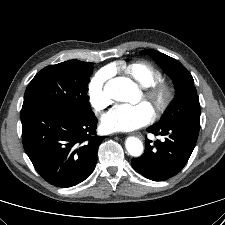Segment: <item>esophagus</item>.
<instances>
[{
  "mask_svg": "<svg viewBox=\"0 0 225 225\" xmlns=\"http://www.w3.org/2000/svg\"><path fill=\"white\" fill-rule=\"evenodd\" d=\"M136 137H138L139 139H143V135L141 134V133H139V132H135V133H133Z\"/></svg>",
  "mask_w": 225,
  "mask_h": 225,
  "instance_id": "34e87169",
  "label": "esophagus"
}]
</instances>
